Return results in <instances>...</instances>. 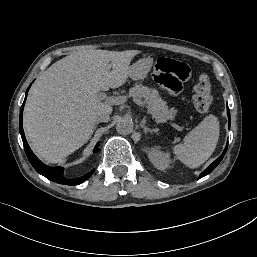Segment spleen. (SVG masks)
Here are the masks:
<instances>
[{
	"label": "spleen",
	"mask_w": 257,
	"mask_h": 257,
	"mask_svg": "<svg viewBox=\"0 0 257 257\" xmlns=\"http://www.w3.org/2000/svg\"><path fill=\"white\" fill-rule=\"evenodd\" d=\"M219 133L217 117L209 115L184 137L183 143L173 147V152L187 167L197 168L213 154Z\"/></svg>",
	"instance_id": "1"
}]
</instances>
